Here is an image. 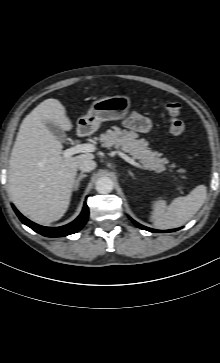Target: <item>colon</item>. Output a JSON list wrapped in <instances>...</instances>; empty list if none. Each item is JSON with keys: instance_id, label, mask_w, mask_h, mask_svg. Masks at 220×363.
Listing matches in <instances>:
<instances>
[{"instance_id": "obj_1", "label": "colon", "mask_w": 220, "mask_h": 363, "mask_svg": "<svg viewBox=\"0 0 220 363\" xmlns=\"http://www.w3.org/2000/svg\"><path fill=\"white\" fill-rule=\"evenodd\" d=\"M166 111L170 116V131L176 136H181L186 131L185 123L179 119L181 105L178 102H169L166 104Z\"/></svg>"}]
</instances>
